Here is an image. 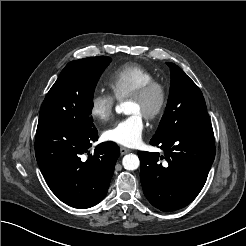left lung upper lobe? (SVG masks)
Instances as JSON below:
<instances>
[{
	"label": "left lung upper lobe",
	"instance_id": "1",
	"mask_svg": "<svg viewBox=\"0 0 246 246\" xmlns=\"http://www.w3.org/2000/svg\"><path fill=\"white\" fill-rule=\"evenodd\" d=\"M167 64L171 72L170 94L164 115L152 140L162 139L180 127L210 122L199 87L174 63Z\"/></svg>",
	"mask_w": 246,
	"mask_h": 246
}]
</instances>
